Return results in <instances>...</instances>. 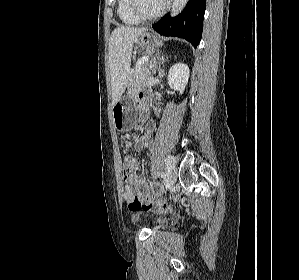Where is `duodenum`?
<instances>
[{
  "label": "duodenum",
  "mask_w": 299,
  "mask_h": 280,
  "mask_svg": "<svg viewBox=\"0 0 299 280\" xmlns=\"http://www.w3.org/2000/svg\"><path fill=\"white\" fill-rule=\"evenodd\" d=\"M140 108L144 111L146 110V104L143 102V100L140 101Z\"/></svg>",
  "instance_id": "1"
}]
</instances>
